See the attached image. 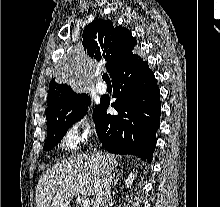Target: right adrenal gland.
Wrapping results in <instances>:
<instances>
[{
	"label": "right adrenal gland",
	"mask_w": 220,
	"mask_h": 207,
	"mask_svg": "<svg viewBox=\"0 0 220 207\" xmlns=\"http://www.w3.org/2000/svg\"><path fill=\"white\" fill-rule=\"evenodd\" d=\"M122 172V170H121ZM121 172L118 173V170H115L113 176H112V179H113V185L116 186L117 183H118V180H119V177L121 175Z\"/></svg>",
	"instance_id": "obj_1"
}]
</instances>
